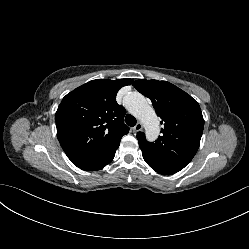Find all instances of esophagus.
<instances>
[{"instance_id": "esophagus-1", "label": "esophagus", "mask_w": 249, "mask_h": 249, "mask_svg": "<svg viewBox=\"0 0 249 249\" xmlns=\"http://www.w3.org/2000/svg\"><path fill=\"white\" fill-rule=\"evenodd\" d=\"M143 129V125L142 123L138 122L134 127H133V131L134 132H139Z\"/></svg>"}]
</instances>
